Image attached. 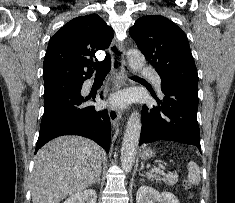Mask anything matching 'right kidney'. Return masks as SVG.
I'll return each mask as SVG.
<instances>
[{
  "instance_id": "ca27d5eb",
  "label": "right kidney",
  "mask_w": 235,
  "mask_h": 203,
  "mask_svg": "<svg viewBox=\"0 0 235 203\" xmlns=\"http://www.w3.org/2000/svg\"><path fill=\"white\" fill-rule=\"evenodd\" d=\"M97 194L95 190L89 189L84 192L71 195L64 203H96Z\"/></svg>"
}]
</instances>
